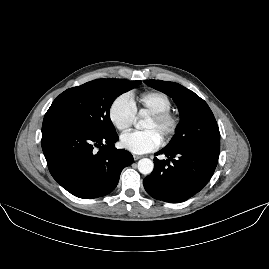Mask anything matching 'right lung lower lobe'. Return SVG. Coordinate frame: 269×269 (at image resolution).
<instances>
[{"instance_id":"obj_1","label":"right lung lower lobe","mask_w":269,"mask_h":269,"mask_svg":"<svg viewBox=\"0 0 269 269\" xmlns=\"http://www.w3.org/2000/svg\"><path fill=\"white\" fill-rule=\"evenodd\" d=\"M117 140V134L93 133L65 116L46 113L43 120L42 149L49 171L79 198L109 194L123 168L132 164L130 152L114 147Z\"/></svg>"}]
</instances>
